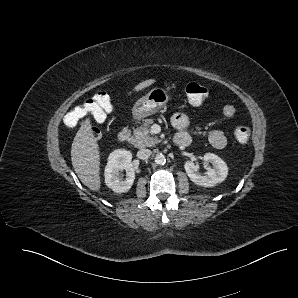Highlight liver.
Masks as SVG:
<instances>
[{
	"mask_svg": "<svg viewBox=\"0 0 298 298\" xmlns=\"http://www.w3.org/2000/svg\"><path fill=\"white\" fill-rule=\"evenodd\" d=\"M149 79L137 85L140 90L152 84ZM71 159L74 170L80 180L90 189L96 190L100 186L98 174L97 147L87 121L78 130L71 149Z\"/></svg>",
	"mask_w": 298,
	"mask_h": 298,
	"instance_id": "1",
	"label": "liver"
}]
</instances>
